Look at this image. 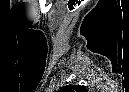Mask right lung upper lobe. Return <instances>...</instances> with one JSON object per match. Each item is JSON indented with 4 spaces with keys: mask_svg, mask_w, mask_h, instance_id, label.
<instances>
[{
    "mask_svg": "<svg viewBox=\"0 0 129 92\" xmlns=\"http://www.w3.org/2000/svg\"><path fill=\"white\" fill-rule=\"evenodd\" d=\"M72 89L81 90V87L80 86H74V85H68V86H64L63 88H61L59 90V92H70V91H72Z\"/></svg>",
    "mask_w": 129,
    "mask_h": 92,
    "instance_id": "cb5924a9",
    "label": "right lung upper lobe"
}]
</instances>
